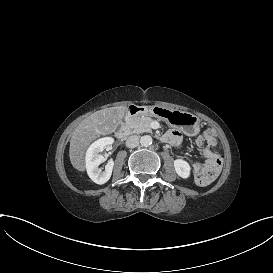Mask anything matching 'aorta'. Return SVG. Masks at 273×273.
Here are the masks:
<instances>
[{
    "instance_id": "1",
    "label": "aorta",
    "mask_w": 273,
    "mask_h": 273,
    "mask_svg": "<svg viewBox=\"0 0 273 273\" xmlns=\"http://www.w3.org/2000/svg\"><path fill=\"white\" fill-rule=\"evenodd\" d=\"M140 144L144 147H148L152 144V137L150 135H144L140 139Z\"/></svg>"
}]
</instances>
